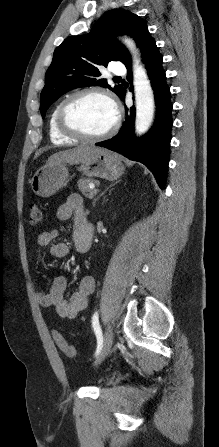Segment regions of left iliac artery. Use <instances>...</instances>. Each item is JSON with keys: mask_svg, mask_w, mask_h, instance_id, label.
Instances as JSON below:
<instances>
[{"mask_svg": "<svg viewBox=\"0 0 219 447\" xmlns=\"http://www.w3.org/2000/svg\"><path fill=\"white\" fill-rule=\"evenodd\" d=\"M92 326L94 328V332H95L96 337H97V349H96L95 355H98L100 350L102 349L103 336H102V331H101V328H100V325H99L98 313L97 312L92 317Z\"/></svg>", "mask_w": 219, "mask_h": 447, "instance_id": "left-iliac-artery-1", "label": "left iliac artery"}]
</instances>
